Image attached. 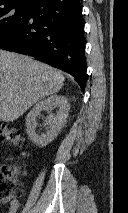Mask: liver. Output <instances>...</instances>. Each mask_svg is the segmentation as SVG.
Segmentation results:
<instances>
[{
	"label": "liver",
	"mask_w": 128,
	"mask_h": 213,
	"mask_svg": "<svg viewBox=\"0 0 128 213\" xmlns=\"http://www.w3.org/2000/svg\"><path fill=\"white\" fill-rule=\"evenodd\" d=\"M57 69L31 57L0 49V120L12 122L35 102L64 84Z\"/></svg>",
	"instance_id": "1"
}]
</instances>
